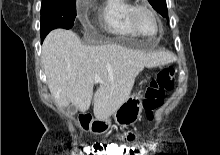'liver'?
Masks as SVG:
<instances>
[{"label":"liver","instance_id":"1","mask_svg":"<svg viewBox=\"0 0 220 155\" xmlns=\"http://www.w3.org/2000/svg\"><path fill=\"white\" fill-rule=\"evenodd\" d=\"M48 88L59 107L74 105L85 113L93 98L96 119L105 120L129 98L144 67L171 63L168 52L133 50L118 44L86 46L74 32L55 29L42 45ZM98 75L102 82H96ZM99 87L93 93L94 84Z\"/></svg>","mask_w":220,"mask_h":155}]
</instances>
